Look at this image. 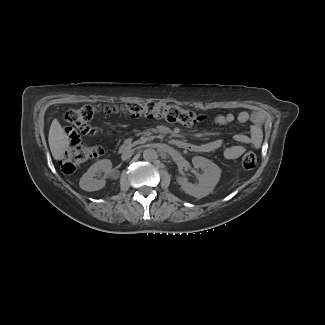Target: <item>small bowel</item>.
<instances>
[{
  "instance_id": "small-bowel-1",
  "label": "small bowel",
  "mask_w": 325,
  "mask_h": 325,
  "mask_svg": "<svg viewBox=\"0 0 325 325\" xmlns=\"http://www.w3.org/2000/svg\"><path fill=\"white\" fill-rule=\"evenodd\" d=\"M257 120H261V115L256 116ZM250 119V114L247 111H241L237 114L234 113H223L215 115L211 118V123L216 126H228L236 122L246 123ZM64 134L67 137L66 145L70 149L78 147L82 141V133L80 131H75L72 126L67 125L63 129ZM236 140L239 144L228 147L224 151V155L228 159H237L245 151L243 143H247L250 140V137L244 133H239L236 136ZM223 146V141L220 139L211 140L205 144L196 146V149L203 152L216 151Z\"/></svg>"
}]
</instances>
